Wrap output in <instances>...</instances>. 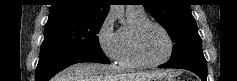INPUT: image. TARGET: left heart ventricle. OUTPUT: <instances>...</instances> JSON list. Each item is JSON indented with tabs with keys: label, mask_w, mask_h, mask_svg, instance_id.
<instances>
[{
	"label": "left heart ventricle",
	"mask_w": 237,
	"mask_h": 81,
	"mask_svg": "<svg viewBox=\"0 0 237 81\" xmlns=\"http://www.w3.org/2000/svg\"><path fill=\"white\" fill-rule=\"evenodd\" d=\"M140 46L144 59L150 62H157L164 59L169 51L167 38L155 26H150L144 31Z\"/></svg>",
	"instance_id": "left-heart-ventricle-1"
}]
</instances>
